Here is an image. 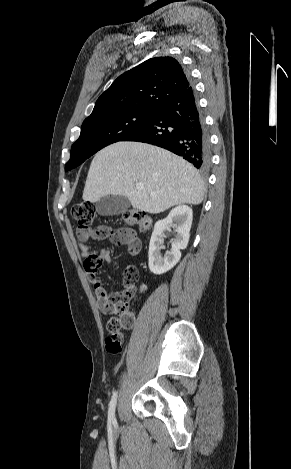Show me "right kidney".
<instances>
[{
    "label": "right kidney",
    "mask_w": 291,
    "mask_h": 469,
    "mask_svg": "<svg viewBox=\"0 0 291 469\" xmlns=\"http://www.w3.org/2000/svg\"><path fill=\"white\" fill-rule=\"evenodd\" d=\"M192 209L186 205L173 208L166 218L156 222L149 244V269L156 275H161L172 269L181 258V251L187 247L190 229L192 225ZM176 227V236L172 242L170 252L164 256L161 254L163 249V232L169 225Z\"/></svg>",
    "instance_id": "right-kidney-1"
}]
</instances>
